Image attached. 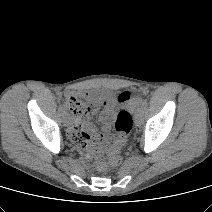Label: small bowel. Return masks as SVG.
I'll list each match as a JSON object with an SVG mask.
<instances>
[{"mask_svg":"<svg viewBox=\"0 0 212 212\" xmlns=\"http://www.w3.org/2000/svg\"><path fill=\"white\" fill-rule=\"evenodd\" d=\"M76 96L85 99L95 107H103L99 119L104 122V126L102 132L98 133L97 128L89 122L90 108H88L86 114L74 116L73 124L68 132L69 137L90 153L108 147L111 149L115 139L109 134V121L115 116L116 104L104 92H79Z\"/></svg>","mask_w":212,"mask_h":212,"instance_id":"small-bowel-1","label":"small bowel"}]
</instances>
